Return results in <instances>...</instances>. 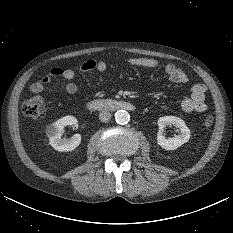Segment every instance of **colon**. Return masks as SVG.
Returning a JSON list of instances; mask_svg holds the SVG:
<instances>
[{
  "mask_svg": "<svg viewBox=\"0 0 233 233\" xmlns=\"http://www.w3.org/2000/svg\"><path fill=\"white\" fill-rule=\"evenodd\" d=\"M22 113L26 117L30 118H40L45 112V103L42 97L33 96L25 100L22 104ZM214 118L212 115H206L204 117V124L206 126H211L213 124Z\"/></svg>",
  "mask_w": 233,
  "mask_h": 233,
  "instance_id": "colon-1",
  "label": "colon"
}]
</instances>
